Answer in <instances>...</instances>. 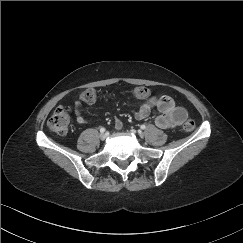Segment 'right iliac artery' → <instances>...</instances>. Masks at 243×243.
<instances>
[{
    "mask_svg": "<svg viewBox=\"0 0 243 243\" xmlns=\"http://www.w3.org/2000/svg\"><path fill=\"white\" fill-rule=\"evenodd\" d=\"M105 131H106L105 128H101V129H100V132H101V133H104Z\"/></svg>",
    "mask_w": 243,
    "mask_h": 243,
    "instance_id": "right-iliac-artery-1",
    "label": "right iliac artery"
}]
</instances>
